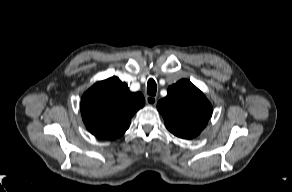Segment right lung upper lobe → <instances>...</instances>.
<instances>
[{
	"label": "right lung upper lobe",
	"instance_id": "obj_1",
	"mask_svg": "<svg viewBox=\"0 0 292 192\" xmlns=\"http://www.w3.org/2000/svg\"><path fill=\"white\" fill-rule=\"evenodd\" d=\"M144 104L140 92H130L118 77H111L83 94L80 109L83 122L93 135L114 140L125 133L132 116Z\"/></svg>",
	"mask_w": 292,
	"mask_h": 192
}]
</instances>
